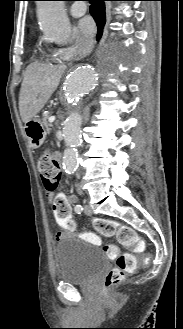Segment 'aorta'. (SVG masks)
Wrapping results in <instances>:
<instances>
[{
    "label": "aorta",
    "mask_w": 183,
    "mask_h": 329,
    "mask_svg": "<svg viewBox=\"0 0 183 329\" xmlns=\"http://www.w3.org/2000/svg\"><path fill=\"white\" fill-rule=\"evenodd\" d=\"M37 16L39 26L50 39L67 43L71 25L64 11L63 1H38ZM100 69L95 64L76 67L68 75L65 83V99L73 106L81 97L95 90ZM82 117L78 112H71L63 125V138L66 149L63 155V167L68 174H73L78 165L77 147L81 143Z\"/></svg>",
    "instance_id": "aorta-1"
}]
</instances>
